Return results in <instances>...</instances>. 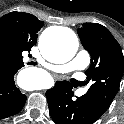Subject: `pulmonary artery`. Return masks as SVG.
<instances>
[{"label": "pulmonary artery", "mask_w": 124, "mask_h": 124, "mask_svg": "<svg viewBox=\"0 0 124 124\" xmlns=\"http://www.w3.org/2000/svg\"><path fill=\"white\" fill-rule=\"evenodd\" d=\"M89 63L90 54L86 50H81L72 61L62 65H50L47 66L46 69L55 73H66L73 70H83ZM84 92V90L78 91L77 95L81 96Z\"/></svg>", "instance_id": "obj_1"}]
</instances>
